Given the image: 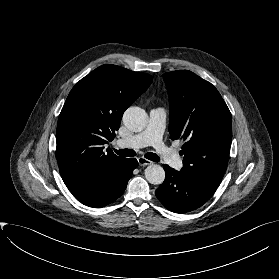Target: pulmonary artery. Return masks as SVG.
<instances>
[{"label": "pulmonary artery", "mask_w": 279, "mask_h": 279, "mask_svg": "<svg viewBox=\"0 0 279 279\" xmlns=\"http://www.w3.org/2000/svg\"><path fill=\"white\" fill-rule=\"evenodd\" d=\"M166 118L167 113L163 108L152 109L146 128L130 138L120 139L117 142L118 145L134 149L152 146L167 164L175 169H181L182 159L167 148L162 141Z\"/></svg>", "instance_id": "pulmonary-artery-1"}]
</instances>
